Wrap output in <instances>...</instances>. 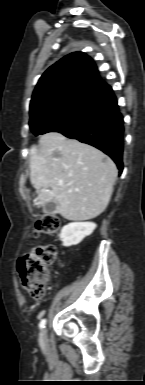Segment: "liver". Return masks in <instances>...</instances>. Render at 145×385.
Returning a JSON list of instances; mask_svg holds the SVG:
<instances>
[{"mask_svg": "<svg viewBox=\"0 0 145 385\" xmlns=\"http://www.w3.org/2000/svg\"><path fill=\"white\" fill-rule=\"evenodd\" d=\"M34 206L57 204L56 212L73 221L89 220L107 207L118 175L115 163L97 148L59 132H48L29 152Z\"/></svg>", "mask_w": 145, "mask_h": 385, "instance_id": "liver-1", "label": "liver"}]
</instances>
